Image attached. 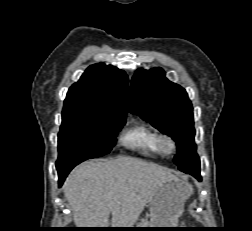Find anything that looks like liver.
Listing matches in <instances>:
<instances>
[{
	"mask_svg": "<svg viewBox=\"0 0 252 231\" xmlns=\"http://www.w3.org/2000/svg\"><path fill=\"white\" fill-rule=\"evenodd\" d=\"M175 176L168 169L132 157L87 161L70 173L64 196L79 228H132L149 198Z\"/></svg>",
	"mask_w": 252,
	"mask_h": 231,
	"instance_id": "obj_1",
	"label": "liver"
}]
</instances>
